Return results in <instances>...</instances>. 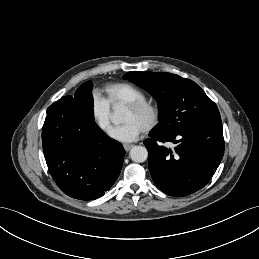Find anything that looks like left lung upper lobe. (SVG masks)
Returning <instances> with one entry per match:
<instances>
[{
	"label": "left lung upper lobe",
	"instance_id": "1",
	"mask_svg": "<svg viewBox=\"0 0 259 259\" xmlns=\"http://www.w3.org/2000/svg\"><path fill=\"white\" fill-rule=\"evenodd\" d=\"M149 91L158 103L155 133L168 136L192 128L221 123L216 104L195 82L175 74L132 71L123 75Z\"/></svg>",
	"mask_w": 259,
	"mask_h": 259
}]
</instances>
